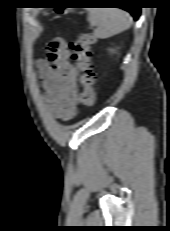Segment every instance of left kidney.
I'll use <instances>...</instances> for the list:
<instances>
[{"mask_svg": "<svg viewBox=\"0 0 170 231\" xmlns=\"http://www.w3.org/2000/svg\"><path fill=\"white\" fill-rule=\"evenodd\" d=\"M110 52H111V53H114V52H115V50H114V49H110Z\"/></svg>", "mask_w": 170, "mask_h": 231, "instance_id": "1", "label": "left kidney"}]
</instances>
